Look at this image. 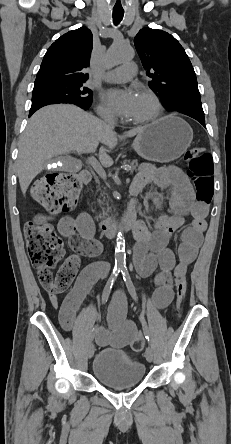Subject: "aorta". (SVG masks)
I'll return each instance as SVG.
<instances>
[{
    "mask_svg": "<svg viewBox=\"0 0 231 444\" xmlns=\"http://www.w3.org/2000/svg\"><path fill=\"white\" fill-rule=\"evenodd\" d=\"M133 57V49L124 41H116L105 57V63L108 66H116ZM115 262L117 265L125 263V240L122 229H119L116 238Z\"/></svg>",
    "mask_w": 231,
    "mask_h": 444,
    "instance_id": "obj_1",
    "label": "aorta"
}]
</instances>
